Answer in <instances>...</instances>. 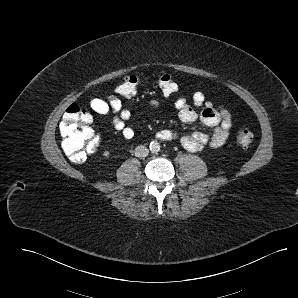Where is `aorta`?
<instances>
[{
    "label": "aorta",
    "mask_w": 298,
    "mask_h": 298,
    "mask_svg": "<svg viewBox=\"0 0 298 298\" xmlns=\"http://www.w3.org/2000/svg\"><path fill=\"white\" fill-rule=\"evenodd\" d=\"M160 148H161V146H160L159 142H157V141H152L149 144V149L153 153L159 152Z\"/></svg>",
    "instance_id": "1"
}]
</instances>
